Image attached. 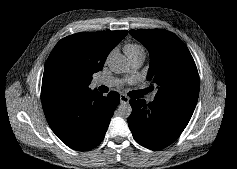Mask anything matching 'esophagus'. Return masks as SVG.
Wrapping results in <instances>:
<instances>
[{
	"label": "esophagus",
	"mask_w": 237,
	"mask_h": 169,
	"mask_svg": "<svg viewBox=\"0 0 237 169\" xmlns=\"http://www.w3.org/2000/svg\"><path fill=\"white\" fill-rule=\"evenodd\" d=\"M120 102L121 103H128L129 102V98L124 95V94H120Z\"/></svg>",
	"instance_id": "esophagus-1"
}]
</instances>
